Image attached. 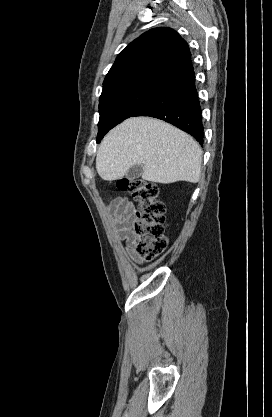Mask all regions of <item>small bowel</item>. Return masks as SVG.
<instances>
[{
  "label": "small bowel",
  "mask_w": 272,
  "mask_h": 417,
  "mask_svg": "<svg viewBox=\"0 0 272 417\" xmlns=\"http://www.w3.org/2000/svg\"><path fill=\"white\" fill-rule=\"evenodd\" d=\"M106 212L114 224L117 237L126 242L124 254L134 262L140 263L141 256L135 248L136 241L131 231L135 212L134 204L126 198L115 197L108 201Z\"/></svg>",
  "instance_id": "1"
}]
</instances>
